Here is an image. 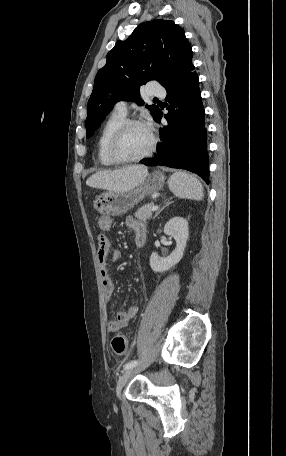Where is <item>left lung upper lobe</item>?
I'll use <instances>...</instances> for the list:
<instances>
[{
    "label": "left lung upper lobe",
    "mask_w": 286,
    "mask_h": 456,
    "mask_svg": "<svg viewBox=\"0 0 286 456\" xmlns=\"http://www.w3.org/2000/svg\"><path fill=\"white\" fill-rule=\"evenodd\" d=\"M184 30L170 20L140 24L126 40L116 42L94 81L87 104L86 135L91 137L113 105L120 100L144 102L140 86L150 80L166 86L192 60ZM155 116L156 105L146 106Z\"/></svg>",
    "instance_id": "5c2ea615"
}]
</instances>
